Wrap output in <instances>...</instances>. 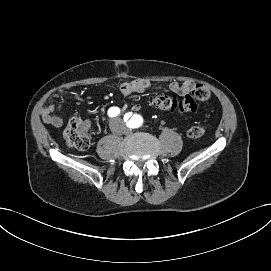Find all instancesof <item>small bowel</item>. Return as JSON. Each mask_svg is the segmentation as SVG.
<instances>
[{
	"label": "small bowel",
	"instance_id": "obj_1",
	"mask_svg": "<svg viewBox=\"0 0 271 271\" xmlns=\"http://www.w3.org/2000/svg\"><path fill=\"white\" fill-rule=\"evenodd\" d=\"M150 85V82L147 80L137 79L122 83L120 86V91L124 96H130L144 92L150 87ZM196 86L197 85L192 81H184L182 83L172 81L168 84L169 90L179 96H185L192 93ZM63 92L64 90H61V93ZM140 108L141 106L138 103H135L132 106L134 111H138ZM54 110L55 108L53 105L43 107L40 112L42 121L46 124L60 127L63 124V120L61 117L54 114Z\"/></svg>",
	"mask_w": 271,
	"mask_h": 271
}]
</instances>
